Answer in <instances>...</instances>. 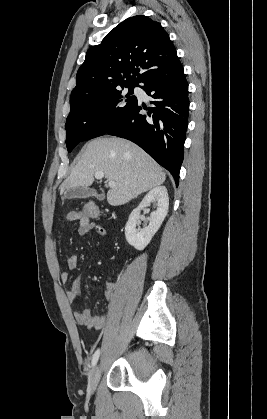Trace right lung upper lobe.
<instances>
[{"instance_id":"1","label":"right lung upper lobe","mask_w":267,"mask_h":419,"mask_svg":"<svg viewBox=\"0 0 267 419\" xmlns=\"http://www.w3.org/2000/svg\"><path fill=\"white\" fill-rule=\"evenodd\" d=\"M177 61L176 49L160 23L143 15L130 17L101 44L87 51L70 103L93 94L135 87L152 72Z\"/></svg>"}]
</instances>
